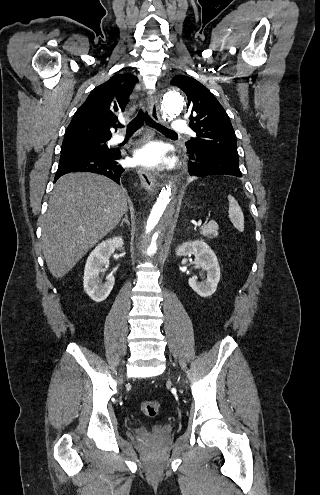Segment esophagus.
Wrapping results in <instances>:
<instances>
[{"instance_id": "esophagus-1", "label": "esophagus", "mask_w": 320, "mask_h": 495, "mask_svg": "<svg viewBox=\"0 0 320 495\" xmlns=\"http://www.w3.org/2000/svg\"><path fill=\"white\" fill-rule=\"evenodd\" d=\"M148 113L153 120H159V107L157 97L155 95L151 96L148 105ZM155 131L152 127H148L146 137L150 139L154 136ZM142 186L149 192H154V190L159 186L155 177L146 169L139 168L137 170Z\"/></svg>"}]
</instances>
